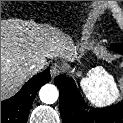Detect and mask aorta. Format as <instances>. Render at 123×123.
Instances as JSON below:
<instances>
[{
    "instance_id": "aorta-1",
    "label": "aorta",
    "mask_w": 123,
    "mask_h": 123,
    "mask_svg": "<svg viewBox=\"0 0 123 123\" xmlns=\"http://www.w3.org/2000/svg\"><path fill=\"white\" fill-rule=\"evenodd\" d=\"M40 100L45 104H53L58 99V90L54 85L46 84L39 91Z\"/></svg>"
}]
</instances>
